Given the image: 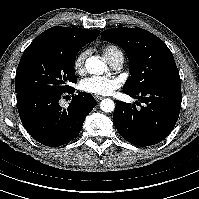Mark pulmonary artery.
<instances>
[{"label": "pulmonary artery", "mask_w": 199, "mask_h": 199, "mask_svg": "<svg viewBox=\"0 0 199 199\" xmlns=\"http://www.w3.org/2000/svg\"><path fill=\"white\" fill-rule=\"evenodd\" d=\"M124 63V58L122 55H118L115 59L110 63L112 68L115 70H119Z\"/></svg>", "instance_id": "pulmonary-artery-1"}]
</instances>
